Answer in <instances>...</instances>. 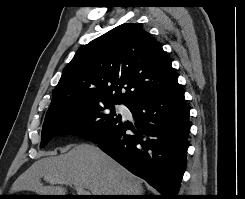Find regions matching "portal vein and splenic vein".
<instances>
[{
  "mask_svg": "<svg viewBox=\"0 0 245 199\" xmlns=\"http://www.w3.org/2000/svg\"><path fill=\"white\" fill-rule=\"evenodd\" d=\"M75 189L78 192L79 195H91V193L88 190H85L80 185H75Z\"/></svg>",
  "mask_w": 245,
  "mask_h": 199,
  "instance_id": "1",
  "label": "portal vein and splenic vein"
}]
</instances>
